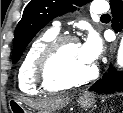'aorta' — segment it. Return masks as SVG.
<instances>
[{
	"mask_svg": "<svg viewBox=\"0 0 123 113\" xmlns=\"http://www.w3.org/2000/svg\"><path fill=\"white\" fill-rule=\"evenodd\" d=\"M117 64L120 67H123V37H122V40H121V43H120V47H119V50H118Z\"/></svg>",
	"mask_w": 123,
	"mask_h": 113,
	"instance_id": "aorta-1",
	"label": "aorta"
}]
</instances>
